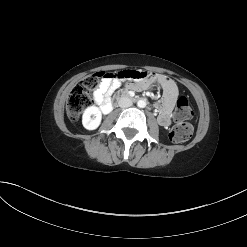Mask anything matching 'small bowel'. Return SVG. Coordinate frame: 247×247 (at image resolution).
<instances>
[{"mask_svg": "<svg viewBox=\"0 0 247 247\" xmlns=\"http://www.w3.org/2000/svg\"><path fill=\"white\" fill-rule=\"evenodd\" d=\"M113 77H106L94 93V102L103 113L112 110L111 98L113 93L128 81V88L141 91L146 89L150 83H159L163 89V99L157 104L159 108L158 123L163 127L171 124V112L178 97V88L175 82L165 75L145 70H124Z\"/></svg>", "mask_w": 247, "mask_h": 247, "instance_id": "c3829d8e", "label": "small bowel"}]
</instances>
